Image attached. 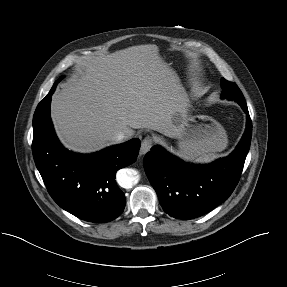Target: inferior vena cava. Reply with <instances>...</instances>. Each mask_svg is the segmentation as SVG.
Returning a JSON list of instances; mask_svg holds the SVG:
<instances>
[{"label": "inferior vena cava", "mask_w": 287, "mask_h": 287, "mask_svg": "<svg viewBox=\"0 0 287 287\" xmlns=\"http://www.w3.org/2000/svg\"><path fill=\"white\" fill-rule=\"evenodd\" d=\"M128 139V136L123 133V132H118V133H115L112 137H111V140L113 143H120L122 141H125Z\"/></svg>", "instance_id": "1"}]
</instances>
